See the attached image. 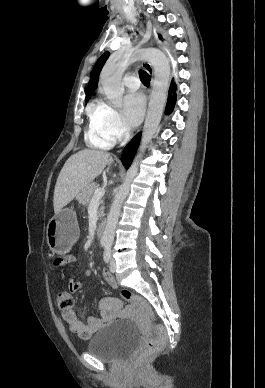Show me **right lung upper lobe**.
I'll list each match as a JSON object with an SVG mask.
<instances>
[{
    "mask_svg": "<svg viewBox=\"0 0 265 388\" xmlns=\"http://www.w3.org/2000/svg\"><path fill=\"white\" fill-rule=\"evenodd\" d=\"M108 57H109V52H106L97 60L90 75V81L86 91V100H88L91 97L93 91L97 88L100 71Z\"/></svg>",
    "mask_w": 265,
    "mask_h": 388,
    "instance_id": "right-lung-upper-lobe-1",
    "label": "right lung upper lobe"
}]
</instances>
